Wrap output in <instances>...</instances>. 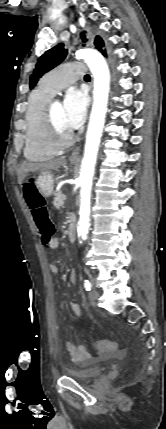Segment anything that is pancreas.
<instances>
[{
	"mask_svg": "<svg viewBox=\"0 0 166 429\" xmlns=\"http://www.w3.org/2000/svg\"><path fill=\"white\" fill-rule=\"evenodd\" d=\"M63 196L64 194L62 192L55 194L53 205L56 209H59L60 207L63 206V203H64Z\"/></svg>",
	"mask_w": 166,
	"mask_h": 429,
	"instance_id": "1",
	"label": "pancreas"
}]
</instances>
